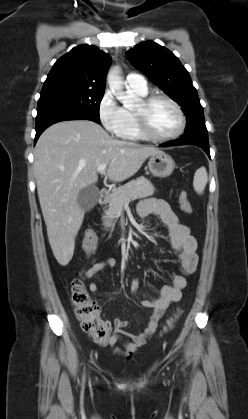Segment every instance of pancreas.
<instances>
[{
  "instance_id": "cf45deb5",
  "label": "pancreas",
  "mask_w": 248,
  "mask_h": 419,
  "mask_svg": "<svg viewBox=\"0 0 248 419\" xmlns=\"http://www.w3.org/2000/svg\"><path fill=\"white\" fill-rule=\"evenodd\" d=\"M154 192V186L144 176H140L114 189L109 198V207L103 215L104 226L113 230V221L118 217L125 203L138 198L152 196Z\"/></svg>"
}]
</instances>
